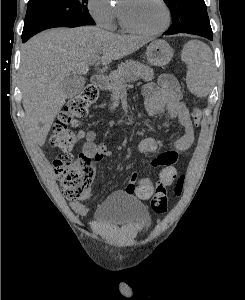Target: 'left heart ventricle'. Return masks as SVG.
<instances>
[{"label":"left heart ventricle","mask_w":245,"mask_h":300,"mask_svg":"<svg viewBox=\"0 0 245 300\" xmlns=\"http://www.w3.org/2000/svg\"><path fill=\"white\" fill-rule=\"evenodd\" d=\"M121 6L128 20L144 30H156L165 24V10L158 0H124Z\"/></svg>","instance_id":"1"}]
</instances>
